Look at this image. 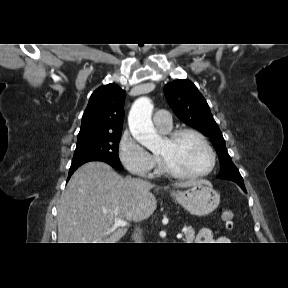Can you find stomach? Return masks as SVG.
<instances>
[{"label":"stomach","instance_id":"obj_1","mask_svg":"<svg viewBox=\"0 0 288 288\" xmlns=\"http://www.w3.org/2000/svg\"><path fill=\"white\" fill-rule=\"evenodd\" d=\"M188 212L196 216L212 213L220 203V195L208 183H198L185 191L171 193Z\"/></svg>","mask_w":288,"mask_h":288}]
</instances>
